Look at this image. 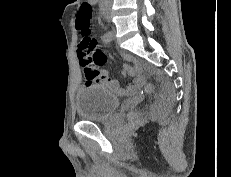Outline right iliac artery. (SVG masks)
I'll use <instances>...</instances> for the list:
<instances>
[{
	"instance_id": "right-iliac-artery-1",
	"label": "right iliac artery",
	"mask_w": 231,
	"mask_h": 177,
	"mask_svg": "<svg viewBox=\"0 0 231 177\" xmlns=\"http://www.w3.org/2000/svg\"><path fill=\"white\" fill-rule=\"evenodd\" d=\"M101 14L106 17L107 14V2L103 1L101 6H100Z\"/></svg>"
}]
</instances>
